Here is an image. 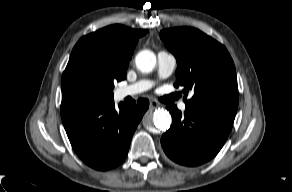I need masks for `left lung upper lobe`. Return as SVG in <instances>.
Listing matches in <instances>:
<instances>
[{
	"instance_id": "left-lung-upper-lobe-1",
	"label": "left lung upper lobe",
	"mask_w": 292,
	"mask_h": 192,
	"mask_svg": "<svg viewBox=\"0 0 292 192\" xmlns=\"http://www.w3.org/2000/svg\"><path fill=\"white\" fill-rule=\"evenodd\" d=\"M164 45L177 59L176 87L183 93L186 108L219 112L235 116L238 86L233 60L227 49L201 31L190 27L160 32Z\"/></svg>"
}]
</instances>
